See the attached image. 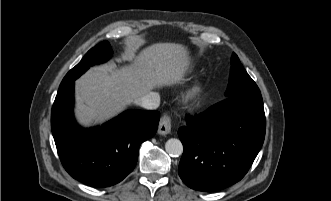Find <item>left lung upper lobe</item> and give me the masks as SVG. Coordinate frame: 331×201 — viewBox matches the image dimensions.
I'll return each mask as SVG.
<instances>
[{
	"label": "left lung upper lobe",
	"instance_id": "obj_1",
	"mask_svg": "<svg viewBox=\"0 0 331 201\" xmlns=\"http://www.w3.org/2000/svg\"><path fill=\"white\" fill-rule=\"evenodd\" d=\"M231 65L229 84L225 92L226 97L249 93H260L258 86L245 71L235 53L232 55Z\"/></svg>",
	"mask_w": 331,
	"mask_h": 201
}]
</instances>
